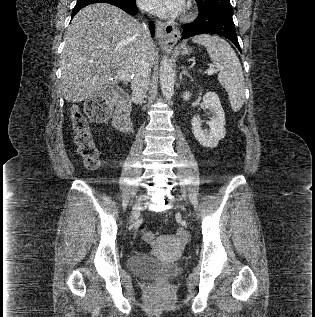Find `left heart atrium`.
Wrapping results in <instances>:
<instances>
[{
	"label": "left heart atrium",
	"mask_w": 315,
	"mask_h": 317,
	"mask_svg": "<svg viewBox=\"0 0 315 317\" xmlns=\"http://www.w3.org/2000/svg\"><path fill=\"white\" fill-rule=\"evenodd\" d=\"M139 5L146 11L161 17H172L182 9V0H138Z\"/></svg>",
	"instance_id": "39dd6f15"
}]
</instances>
